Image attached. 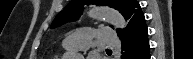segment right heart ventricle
<instances>
[{
	"label": "right heart ventricle",
	"mask_w": 193,
	"mask_h": 59,
	"mask_svg": "<svg viewBox=\"0 0 193 59\" xmlns=\"http://www.w3.org/2000/svg\"><path fill=\"white\" fill-rule=\"evenodd\" d=\"M52 59H59L57 56H54Z\"/></svg>",
	"instance_id": "e07e8e85"
}]
</instances>
